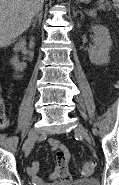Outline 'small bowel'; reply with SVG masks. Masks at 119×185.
Instances as JSON below:
<instances>
[{"mask_svg": "<svg viewBox=\"0 0 119 185\" xmlns=\"http://www.w3.org/2000/svg\"><path fill=\"white\" fill-rule=\"evenodd\" d=\"M49 145L54 152V171L46 178H41L37 174L39 172V161L35 160L27 168V173L33 178V181L38 185H55L57 180H70L69 160L70 154L66 146L59 140L49 138Z\"/></svg>", "mask_w": 119, "mask_h": 185, "instance_id": "1", "label": "small bowel"}]
</instances>
